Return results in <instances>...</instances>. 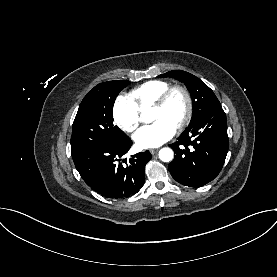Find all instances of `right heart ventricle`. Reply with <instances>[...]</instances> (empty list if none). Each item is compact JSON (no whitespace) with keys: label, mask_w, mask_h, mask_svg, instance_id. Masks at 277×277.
<instances>
[{"label":"right heart ventricle","mask_w":277,"mask_h":277,"mask_svg":"<svg viewBox=\"0 0 277 277\" xmlns=\"http://www.w3.org/2000/svg\"><path fill=\"white\" fill-rule=\"evenodd\" d=\"M170 87V84L162 80H151L145 82L130 91L129 97L138 107L144 110L156 101V99Z\"/></svg>","instance_id":"e07e8e85"}]
</instances>
